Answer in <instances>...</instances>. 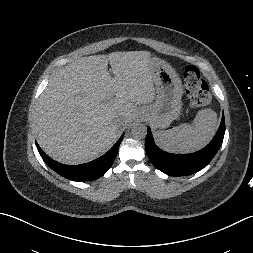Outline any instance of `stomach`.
I'll use <instances>...</instances> for the list:
<instances>
[{"label":"stomach","instance_id":"0dacf381","mask_svg":"<svg viewBox=\"0 0 253 253\" xmlns=\"http://www.w3.org/2000/svg\"><path fill=\"white\" fill-rule=\"evenodd\" d=\"M151 61L157 96L155 103L144 109V114L154 127L164 129L180 115L183 88L170 64L158 58H151Z\"/></svg>","mask_w":253,"mask_h":253}]
</instances>
